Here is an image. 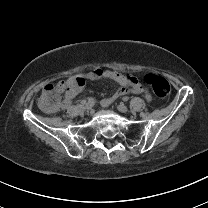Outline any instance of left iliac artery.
Listing matches in <instances>:
<instances>
[{
  "instance_id": "1",
  "label": "left iliac artery",
  "mask_w": 208,
  "mask_h": 208,
  "mask_svg": "<svg viewBox=\"0 0 208 208\" xmlns=\"http://www.w3.org/2000/svg\"><path fill=\"white\" fill-rule=\"evenodd\" d=\"M129 100V98L128 97H123V101H128Z\"/></svg>"
}]
</instances>
